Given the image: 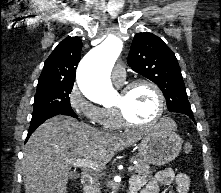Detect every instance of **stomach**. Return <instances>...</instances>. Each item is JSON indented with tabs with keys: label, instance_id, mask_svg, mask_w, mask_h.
<instances>
[{
	"label": "stomach",
	"instance_id": "obj_1",
	"mask_svg": "<svg viewBox=\"0 0 221 193\" xmlns=\"http://www.w3.org/2000/svg\"><path fill=\"white\" fill-rule=\"evenodd\" d=\"M181 146V138L161 120L143 136L138 155L147 164L164 165L178 156Z\"/></svg>",
	"mask_w": 221,
	"mask_h": 193
}]
</instances>
